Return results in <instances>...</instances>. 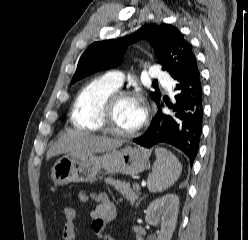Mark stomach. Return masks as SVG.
Segmentation results:
<instances>
[{
    "label": "stomach",
    "mask_w": 248,
    "mask_h": 240,
    "mask_svg": "<svg viewBox=\"0 0 248 240\" xmlns=\"http://www.w3.org/2000/svg\"><path fill=\"white\" fill-rule=\"evenodd\" d=\"M149 156V152L131 146L113 149L99 156L68 154L55 162L51 168V179L55 185L89 182L101 169L113 174L136 175L149 167Z\"/></svg>",
    "instance_id": "0dacf381"
}]
</instances>
